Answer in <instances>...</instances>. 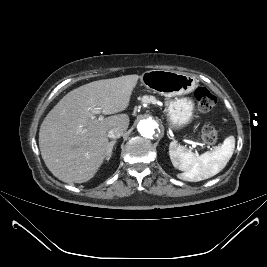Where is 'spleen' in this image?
I'll return each mask as SVG.
<instances>
[{"label":"spleen","mask_w":267,"mask_h":267,"mask_svg":"<svg viewBox=\"0 0 267 267\" xmlns=\"http://www.w3.org/2000/svg\"><path fill=\"white\" fill-rule=\"evenodd\" d=\"M234 136L227 137L223 144L214 151L197 155L175 141L169 145V156L173 166L183 173L178 177L185 181L198 182L218 174L224 169L233 155Z\"/></svg>","instance_id":"1"}]
</instances>
